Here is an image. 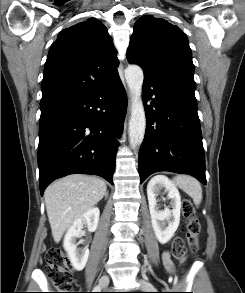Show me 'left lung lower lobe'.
<instances>
[{"label":"left lung lower lobe","instance_id":"0a47b994","mask_svg":"<svg viewBox=\"0 0 245 293\" xmlns=\"http://www.w3.org/2000/svg\"><path fill=\"white\" fill-rule=\"evenodd\" d=\"M143 98L147 121L138 160L141 182L152 173L170 171L192 175L206 184L196 100L147 78Z\"/></svg>","mask_w":245,"mask_h":293}]
</instances>
